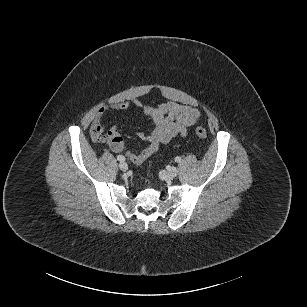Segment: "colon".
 Segmentation results:
<instances>
[{"label": "colon", "mask_w": 307, "mask_h": 307, "mask_svg": "<svg viewBox=\"0 0 307 307\" xmlns=\"http://www.w3.org/2000/svg\"><path fill=\"white\" fill-rule=\"evenodd\" d=\"M195 133L201 139H205L207 137V130L201 126L196 128ZM108 143L114 151H122L124 149L123 139L117 132L109 133Z\"/></svg>", "instance_id": "5ec220e1"}]
</instances>
